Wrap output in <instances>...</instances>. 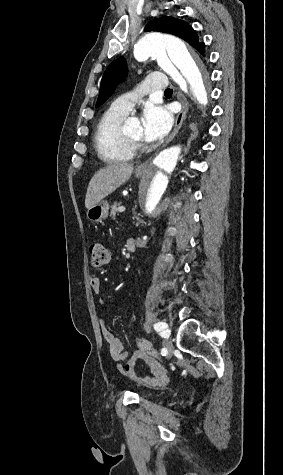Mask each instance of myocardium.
Masks as SVG:
<instances>
[{"label":"myocardium","mask_w":283,"mask_h":475,"mask_svg":"<svg viewBox=\"0 0 283 475\" xmlns=\"http://www.w3.org/2000/svg\"><path fill=\"white\" fill-rule=\"evenodd\" d=\"M146 146L145 140H134L125 135L122 131L119 138L112 145V153L116 156H129L134 158L137 156Z\"/></svg>","instance_id":"obj_1"}]
</instances>
